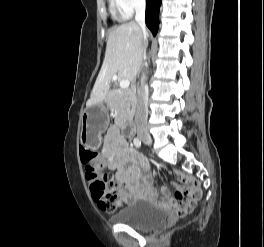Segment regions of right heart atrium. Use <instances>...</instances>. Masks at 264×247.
I'll return each instance as SVG.
<instances>
[{
	"mask_svg": "<svg viewBox=\"0 0 264 247\" xmlns=\"http://www.w3.org/2000/svg\"><path fill=\"white\" fill-rule=\"evenodd\" d=\"M112 7L122 16L129 17L136 9L144 6L145 0H110Z\"/></svg>",
	"mask_w": 264,
	"mask_h": 247,
	"instance_id": "right-heart-atrium-1",
	"label": "right heart atrium"
}]
</instances>
